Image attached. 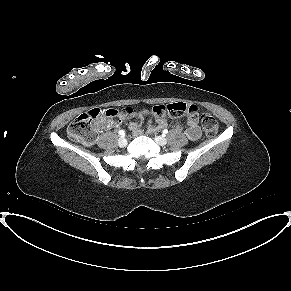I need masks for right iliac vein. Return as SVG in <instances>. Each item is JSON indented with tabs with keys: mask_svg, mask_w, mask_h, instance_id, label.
<instances>
[{
	"mask_svg": "<svg viewBox=\"0 0 291 291\" xmlns=\"http://www.w3.org/2000/svg\"><path fill=\"white\" fill-rule=\"evenodd\" d=\"M118 146L124 148L127 146V140L124 137L118 139Z\"/></svg>",
	"mask_w": 291,
	"mask_h": 291,
	"instance_id": "63e3f726",
	"label": "right iliac vein"
}]
</instances>
